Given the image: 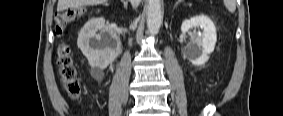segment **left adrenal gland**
<instances>
[{"label":"left adrenal gland","mask_w":283,"mask_h":116,"mask_svg":"<svg viewBox=\"0 0 283 116\" xmlns=\"http://www.w3.org/2000/svg\"><path fill=\"white\" fill-rule=\"evenodd\" d=\"M179 3H180V1H177L176 4H175V7H177V5H178Z\"/></svg>","instance_id":"1"}]
</instances>
